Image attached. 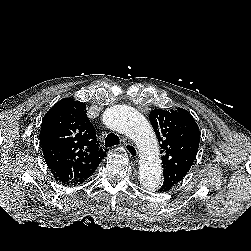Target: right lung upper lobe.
Here are the masks:
<instances>
[{"label":"right lung upper lobe","instance_id":"1","mask_svg":"<svg viewBox=\"0 0 251 251\" xmlns=\"http://www.w3.org/2000/svg\"><path fill=\"white\" fill-rule=\"evenodd\" d=\"M40 144L54 178L68 186L89 178L107 152L96 139L85 103L72 98L58 101L45 114Z\"/></svg>","mask_w":251,"mask_h":251}]
</instances>
